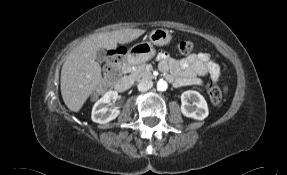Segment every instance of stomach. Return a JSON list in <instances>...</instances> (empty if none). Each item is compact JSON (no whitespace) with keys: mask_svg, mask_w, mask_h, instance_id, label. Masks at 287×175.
Wrapping results in <instances>:
<instances>
[{"mask_svg":"<svg viewBox=\"0 0 287 175\" xmlns=\"http://www.w3.org/2000/svg\"><path fill=\"white\" fill-rule=\"evenodd\" d=\"M172 36L169 30L156 28L149 34V41L137 43L132 46L126 55L129 64H140L150 60L155 55L154 45L163 46L170 42Z\"/></svg>","mask_w":287,"mask_h":175,"instance_id":"0dacf381","label":"stomach"}]
</instances>
